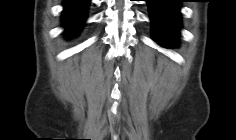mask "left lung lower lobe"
I'll list each match as a JSON object with an SVG mask.
<instances>
[{
  "mask_svg": "<svg viewBox=\"0 0 236 140\" xmlns=\"http://www.w3.org/2000/svg\"><path fill=\"white\" fill-rule=\"evenodd\" d=\"M181 2L183 0H147L153 37L163 46L177 45Z\"/></svg>",
  "mask_w": 236,
  "mask_h": 140,
  "instance_id": "left-lung-lower-lobe-1",
  "label": "left lung lower lobe"
}]
</instances>
